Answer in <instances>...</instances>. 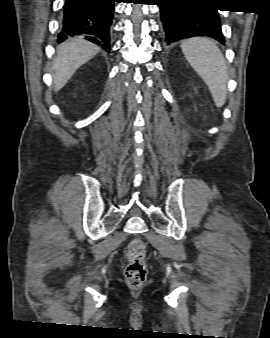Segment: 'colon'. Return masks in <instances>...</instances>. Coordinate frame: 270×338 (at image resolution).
I'll return each mask as SVG.
<instances>
[{
    "label": "colon",
    "mask_w": 270,
    "mask_h": 338,
    "mask_svg": "<svg viewBox=\"0 0 270 338\" xmlns=\"http://www.w3.org/2000/svg\"><path fill=\"white\" fill-rule=\"evenodd\" d=\"M127 262L124 268L128 286L140 288L147 277L146 245L141 239L132 240L126 249Z\"/></svg>",
    "instance_id": "obj_1"
}]
</instances>
